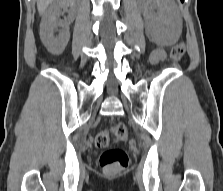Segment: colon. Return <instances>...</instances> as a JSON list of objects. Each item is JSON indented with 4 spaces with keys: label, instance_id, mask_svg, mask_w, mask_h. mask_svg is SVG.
I'll return each mask as SVG.
<instances>
[{
    "label": "colon",
    "instance_id": "obj_1",
    "mask_svg": "<svg viewBox=\"0 0 223 191\" xmlns=\"http://www.w3.org/2000/svg\"><path fill=\"white\" fill-rule=\"evenodd\" d=\"M183 2V0H181ZM185 53L183 44L176 45L171 51V58L178 62ZM125 141L127 130L123 123H118L111 130L96 135L94 143L97 148L104 149L100 155L99 163L105 171H117L127 168L129 159L127 153L120 148H107L110 140Z\"/></svg>",
    "mask_w": 223,
    "mask_h": 191
}]
</instances>
